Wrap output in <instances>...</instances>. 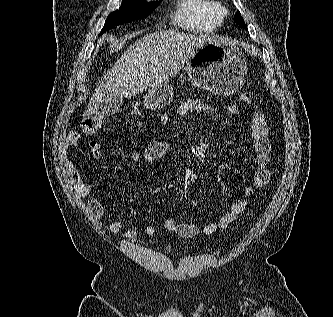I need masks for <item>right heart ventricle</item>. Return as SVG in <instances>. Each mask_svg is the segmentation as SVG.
Segmentation results:
<instances>
[{
  "label": "right heart ventricle",
  "instance_id": "1",
  "mask_svg": "<svg viewBox=\"0 0 333 317\" xmlns=\"http://www.w3.org/2000/svg\"><path fill=\"white\" fill-rule=\"evenodd\" d=\"M223 17L217 0H178L172 16L176 26L198 34L214 32Z\"/></svg>",
  "mask_w": 333,
  "mask_h": 317
}]
</instances>
